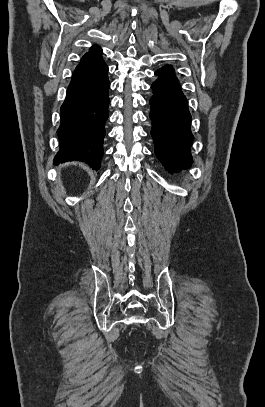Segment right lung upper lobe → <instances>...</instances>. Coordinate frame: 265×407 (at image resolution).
Instances as JSON below:
<instances>
[{
	"mask_svg": "<svg viewBox=\"0 0 265 407\" xmlns=\"http://www.w3.org/2000/svg\"><path fill=\"white\" fill-rule=\"evenodd\" d=\"M101 52V48L98 45H94L90 48L89 52L85 54V56H91Z\"/></svg>",
	"mask_w": 265,
	"mask_h": 407,
	"instance_id": "1",
	"label": "right lung upper lobe"
}]
</instances>
